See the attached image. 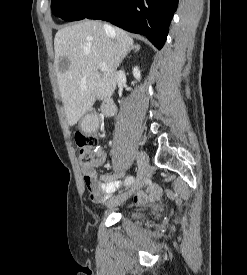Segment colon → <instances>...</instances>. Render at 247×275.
I'll return each mask as SVG.
<instances>
[{
    "label": "colon",
    "mask_w": 247,
    "mask_h": 275,
    "mask_svg": "<svg viewBox=\"0 0 247 275\" xmlns=\"http://www.w3.org/2000/svg\"><path fill=\"white\" fill-rule=\"evenodd\" d=\"M76 143L80 148V161L82 164L83 171L88 169V166L93 162L92 149L97 144V139L93 135L77 133Z\"/></svg>",
    "instance_id": "5ec220e1"
}]
</instances>
